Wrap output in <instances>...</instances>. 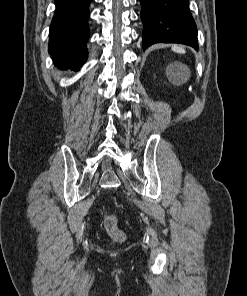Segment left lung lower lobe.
Here are the masks:
<instances>
[{
	"label": "left lung lower lobe",
	"mask_w": 247,
	"mask_h": 296,
	"mask_svg": "<svg viewBox=\"0 0 247 296\" xmlns=\"http://www.w3.org/2000/svg\"><path fill=\"white\" fill-rule=\"evenodd\" d=\"M143 50L155 43H181L198 50L197 27L188 0H139Z\"/></svg>",
	"instance_id": "obj_1"
}]
</instances>
